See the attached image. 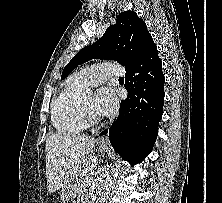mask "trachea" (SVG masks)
Segmentation results:
<instances>
[{"mask_svg": "<svg viewBox=\"0 0 222 203\" xmlns=\"http://www.w3.org/2000/svg\"><path fill=\"white\" fill-rule=\"evenodd\" d=\"M123 79H124L123 77H120V78H119V80H123Z\"/></svg>", "mask_w": 222, "mask_h": 203, "instance_id": "obj_1", "label": "trachea"}]
</instances>
